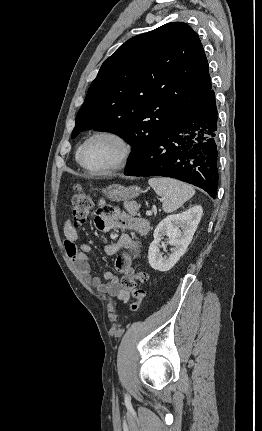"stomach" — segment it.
Here are the masks:
<instances>
[{
    "instance_id": "stomach-1",
    "label": "stomach",
    "mask_w": 262,
    "mask_h": 431,
    "mask_svg": "<svg viewBox=\"0 0 262 431\" xmlns=\"http://www.w3.org/2000/svg\"><path fill=\"white\" fill-rule=\"evenodd\" d=\"M103 194L111 201H129L137 197L141 189L138 186L124 187L119 184H112L102 189ZM133 207V205H132Z\"/></svg>"
}]
</instances>
